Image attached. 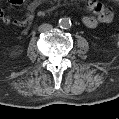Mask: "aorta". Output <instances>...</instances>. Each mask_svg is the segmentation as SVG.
<instances>
[{
  "label": "aorta",
  "instance_id": "aorta-1",
  "mask_svg": "<svg viewBox=\"0 0 119 119\" xmlns=\"http://www.w3.org/2000/svg\"><path fill=\"white\" fill-rule=\"evenodd\" d=\"M59 25L61 28H69L71 26V21L68 18L59 19Z\"/></svg>",
  "mask_w": 119,
  "mask_h": 119
}]
</instances>
